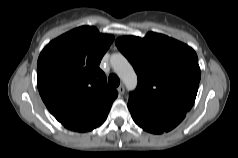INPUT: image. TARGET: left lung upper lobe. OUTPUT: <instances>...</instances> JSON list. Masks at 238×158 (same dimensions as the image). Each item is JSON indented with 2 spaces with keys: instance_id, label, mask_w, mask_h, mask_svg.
<instances>
[{
  "instance_id": "obj_1",
  "label": "left lung upper lobe",
  "mask_w": 238,
  "mask_h": 158,
  "mask_svg": "<svg viewBox=\"0 0 238 158\" xmlns=\"http://www.w3.org/2000/svg\"><path fill=\"white\" fill-rule=\"evenodd\" d=\"M115 44L138 75L129 102L152 112L191 109L200 81L198 57L191 47L154 32L144 38L120 37Z\"/></svg>"
}]
</instances>
